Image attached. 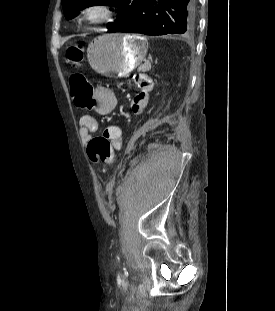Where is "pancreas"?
Instances as JSON below:
<instances>
[{
  "label": "pancreas",
  "mask_w": 275,
  "mask_h": 311,
  "mask_svg": "<svg viewBox=\"0 0 275 311\" xmlns=\"http://www.w3.org/2000/svg\"><path fill=\"white\" fill-rule=\"evenodd\" d=\"M150 67V64L145 63L138 68V71H147Z\"/></svg>",
  "instance_id": "cf45deb5"
}]
</instances>
